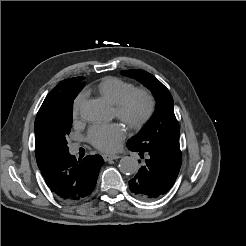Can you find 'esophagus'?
I'll return each instance as SVG.
<instances>
[{
	"mask_svg": "<svg viewBox=\"0 0 246 246\" xmlns=\"http://www.w3.org/2000/svg\"><path fill=\"white\" fill-rule=\"evenodd\" d=\"M120 156L119 155H108V154H105L103 155V159L104 161H110V160H116V159H119Z\"/></svg>",
	"mask_w": 246,
	"mask_h": 246,
	"instance_id": "1",
	"label": "esophagus"
}]
</instances>
